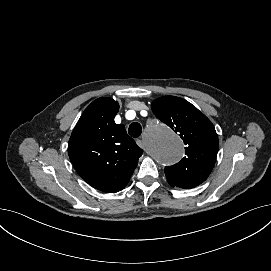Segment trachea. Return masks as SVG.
<instances>
[{"mask_svg": "<svg viewBox=\"0 0 271 271\" xmlns=\"http://www.w3.org/2000/svg\"><path fill=\"white\" fill-rule=\"evenodd\" d=\"M128 133L133 138H138L141 136L142 127L139 123L134 122L128 128Z\"/></svg>", "mask_w": 271, "mask_h": 271, "instance_id": "trachea-1", "label": "trachea"}]
</instances>
